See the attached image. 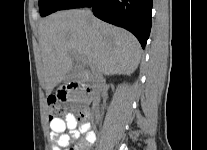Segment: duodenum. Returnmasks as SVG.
<instances>
[{
  "instance_id": "410a0bca",
  "label": "duodenum",
  "mask_w": 207,
  "mask_h": 150,
  "mask_svg": "<svg viewBox=\"0 0 207 150\" xmlns=\"http://www.w3.org/2000/svg\"><path fill=\"white\" fill-rule=\"evenodd\" d=\"M68 87L72 90H82L87 96L91 97L95 93V86L90 84H85L79 80H72L68 83ZM84 118L90 116V109L85 108L82 111Z\"/></svg>"
}]
</instances>
